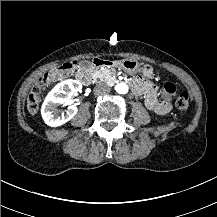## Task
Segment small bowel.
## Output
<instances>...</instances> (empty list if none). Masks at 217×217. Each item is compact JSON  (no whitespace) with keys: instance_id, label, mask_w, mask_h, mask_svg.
<instances>
[{"instance_id":"obj_1","label":"small bowel","mask_w":217,"mask_h":217,"mask_svg":"<svg viewBox=\"0 0 217 217\" xmlns=\"http://www.w3.org/2000/svg\"><path fill=\"white\" fill-rule=\"evenodd\" d=\"M138 84L140 87L134 90L133 94L136 96L144 94L145 105L150 111L158 115H165L171 110L170 99L159 100L152 82L139 79Z\"/></svg>"}]
</instances>
